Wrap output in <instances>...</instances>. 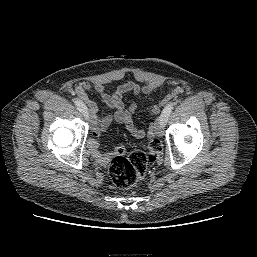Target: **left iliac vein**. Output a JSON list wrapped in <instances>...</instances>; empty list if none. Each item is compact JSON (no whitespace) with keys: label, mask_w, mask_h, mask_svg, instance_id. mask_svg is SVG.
<instances>
[{"label":"left iliac vein","mask_w":257,"mask_h":257,"mask_svg":"<svg viewBox=\"0 0 257 257\" xmlns=\"http://www.w3.org/2000/svg\"><path fill=\"white\" fill-rule=\"evenodd\" d=\"M166 122L163 121L161 118L159 119L158 121V128H157V134L159 136H162L163 135V128L165 126Z\"/></svg>","instance_id":"1"}]
</instances>
